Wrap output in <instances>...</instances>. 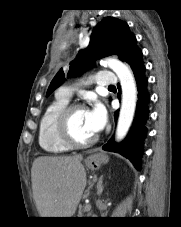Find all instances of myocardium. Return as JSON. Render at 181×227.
<instances>
[{"mask_svg": "<svg viewBox=\"0 0 181 227\" xmlns=\"http://www.w3.org/2000/svg\"><path fill=\"white\" fill-rule=\"evenodd\" d=\"M77 110H87V107L81 103H71L67 104L59 113L56 119V131L58 137L66 143L70 147L75 148H86L98 140V135H94L93 137L86 140L77 139L71 130V119Z\"/></svg>", "mask_w": 181, "mask_h": 227, "instance_id": "myocardium-1", "label": "myocardium"}]
</instances>
